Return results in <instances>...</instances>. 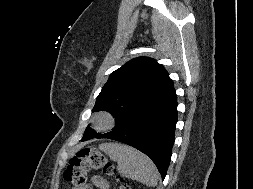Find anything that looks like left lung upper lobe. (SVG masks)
<instances>
[{
    "label": "left lung upper lobe",
    "instance_id": "1",
    "mask_svg": "<svg viewBox=\"0 0 253 189\" xmlns=\"http://www.w3.org/2000/svg\"><path fill=\"white\" fill-rule=\"evenodd\" d=\"M173 88L168 72L156 60L138 57L115 70L96 99L92 111L106 110L119 127ZM114 128V129H115ZM95 133L89 127L84 134Z\"/></svg>",
    "mask_w": 253,
    "mask_h": 189
}]
</instances>
